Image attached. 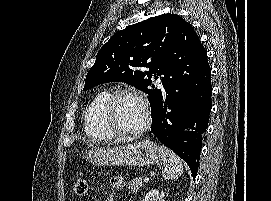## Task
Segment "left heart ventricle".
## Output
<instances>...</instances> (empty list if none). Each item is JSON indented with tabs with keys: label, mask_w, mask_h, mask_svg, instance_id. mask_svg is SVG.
<instances>
[{
	"label": "left heart ventricle",
	"mask_w": 271,
	"mask_h": 201,
	"mask_svg": "<svg viewBox=\"0 0 271 201\" xmlns=\"http://www.w3.org/2000/svg\"><path fill=\"white\" fill-rule=\"evenodd\" d=\"M114 117L118 126L133 131L145 121V110L141 102L133 97H121L115 104Z\"/></svg>",
	"instance_id": "obj_1"
}]
</instances>
